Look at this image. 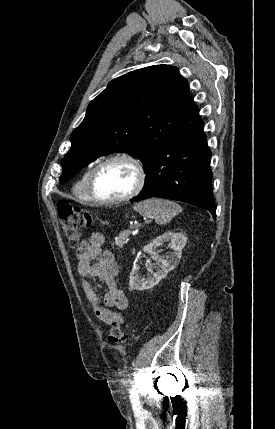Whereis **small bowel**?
Returning <instances> with one entry per match:
<instances>
[{"label": "small bowel", "mask_w": 275, "mask_h": 429, "mask_svg": "<svg viewBox=\"0 0 275 429\" xmlns=\"http://www.w3.org/2000/svg\"><path fill=\"white\" fill-rule=\"evenodd\" d=\"M103 243L104 236L98 232L93 233L89 240L81 242L76 252L78 272L85 278L83 290L96 317L107 324L123 323L122 314L110 308L116 307L119 311H125L129 302L116 281L118 266L114 254L110 250H102ZM96 259L98 261L93 262ZM92 278H99L106 284L107 291L103 297L94 290L89 281Z\"/></svg>", "instance_id": "small-bowel-1"}]
</instances>
